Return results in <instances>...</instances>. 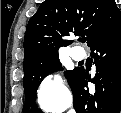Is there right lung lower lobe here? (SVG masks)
<instances>
[{"instance_id":"right-lung-lower-lobe-1","label":"right lung lower lobe","mask_w":121,"mask_h":113,"mask_svg":"<svg viewBox=\"0 0 121 113\" xmlns=\"http://www.w3.org/2000/svg\"><path fill=\"white\" fill-rule=\"evenodd\" d=\"M96 74L90 82L95 84L92 95L86 90L88 72L75 68L68 83L73 92L77 113H119L121 109V27L91 46ZM97 51V52H94Z\"/></svg>"}]
</instances>
